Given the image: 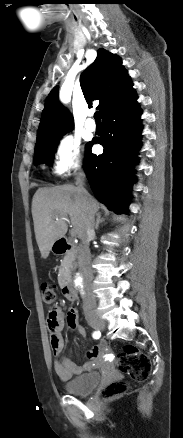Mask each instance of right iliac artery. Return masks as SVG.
<instances>
[{
  "label": "right iliac artery",
  "mask_w": 183,
  "mask_h": 438,
  "mask_svg": "<svg viewBox=\"0 0 183 438\" xmlns=\"http://www.w3.org/2000/svg\"><path fill=\"white\" fill-rule=\"evenodd\" d=\"M92 336L94 339H99L101 336V333H100V331H95Z\"/></svg>",
  "instance_id": "82829eb1"
}]
</instances>
